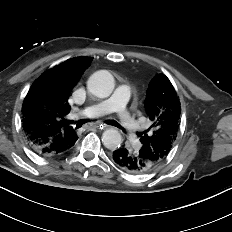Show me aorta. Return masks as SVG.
I'll return each instance as SVG.
<instances>
[{
	"label": "aorta",
	"instance_id": "762f6f07",
	"mask_svg": "<svg viewBox=\"0 0 232 232\" xmlns=\"http://www.w3.org/2000/svg\"><path fill=\"white\" fill-rule=\"evenodd\" d=\"M87 88L90 93L99 98H107L114 90V78L106 70L94 73L88 80ZM103 145L109 150H116L122 143L121 134L113 128L103 132Z\"/></svg>",
	"mask_w": 232,
	"mask_h": 232
}]
</instances>
